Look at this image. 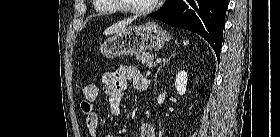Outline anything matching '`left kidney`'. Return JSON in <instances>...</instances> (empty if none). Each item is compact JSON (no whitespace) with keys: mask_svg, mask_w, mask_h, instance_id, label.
<instances>
[{"mask_svg":"<svg viewBox=\"0 0 280 137\" xmlns=\"http://www.w3.org/2000/svg\"><path fill=\"white\" fill-rule=\"evenodd\" d=\"M188 82V75L186 71H180L175 80V88L179 95H184L186 92V86Z\"/></svg>","mask_w":280,"mask_h":137,"instance_id":"1","label":"left kidney"}]
</instances>
